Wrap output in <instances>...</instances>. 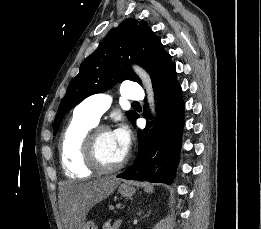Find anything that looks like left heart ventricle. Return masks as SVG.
<instances>
[{"label": "left heart ventricle", "instance_id": "left-heart-ventricle-1", "mask_svg": "<svg viewBox=\"0 0 261 229\" xmlns=\"http://www.w3.org/2000/svg\"><path fill=\"white\" fill-rule=\"evenodd\" d=\"M99 154L101 159L109 165L116 164L124 158L112 132H106L101 135L99 140Z\"/></svg>", "mask_w": 261, "mask_h": 229}]
</instances>
